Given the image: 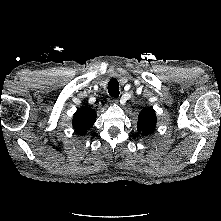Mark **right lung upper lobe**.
Wrapping results in <instances>:
<instances>
[{"label":"right lung upper lobe","mask_w":221,"mask_h":221,"mask_svg":"<svg viewBox=\"0 0 221 221\" xmlns=\"http://www.w3.org/2000/svg\"><path fill=\"white\" fill-rule=\"evenodd\" d=\"M96 112L87 106L78 109L73 116V128L84 135L94 124Z\"/></svg>","instance_id":"cb5924a9"}]
</instances>
